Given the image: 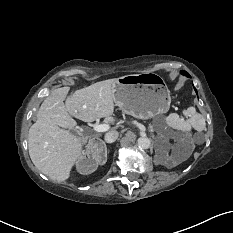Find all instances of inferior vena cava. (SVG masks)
Listing matches in <instances>:
<instances>
[{
  "instance_id": "inferior-vena-cava-1",
  "label": "inferior vena cava",
  "mask_w": 233,
  "mask_h": 233,
  "mask_svg": "<svg viewBox=\"0 0 233 233\" xmlns=\"http://www.w3.org/2000/svg\"><path fill=\"white\" fill-rule=\"evenodd\" d=\"M118 132L117 131H110L108 133L105 134V141L107 143H113L117 140L118 138Z\"/></svg>"
}]
</instances>
